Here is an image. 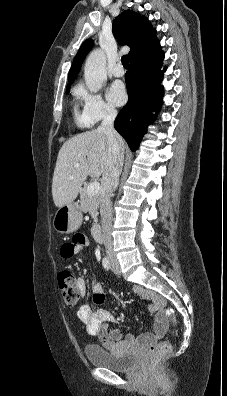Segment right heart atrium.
I'll return each instance as SVG.
<instances>
[{
  "mask_svg": "<svg viewBox=\"0 0 227 396\" xmlns=\"http://www.w3.org/2000/svg\"><path fill=\"white\" fill-rule=\"evenodd\" d=\"M76 96L83 105V115L90 124L111 120L117 115V110L107 103L100 93H94L80 87Z\"/></svg>",
  "mask_w": 227,
  "mask_h": 396,
  "instance_id": "d8ad5b80",
  "label": "right heart atrium"
}]
</instances>
